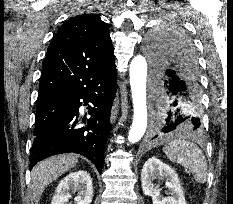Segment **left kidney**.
<instances>
[{
  "mask_svg": "<svg viewBox=\"0 0 233 204\" xmlns=\"http://www.w3.org/2000/svg\"><path fill=\"white\" fill-rule=\"evenodd\" d=\"M156 179L165 181V187L169 190L168 197L160 194L161 189L154 183ZM141 183L143 193L152 197L153 204H187L178 175L156 157H151L143 165Z\"/></svg>",
  "mask_w": 233,
  "mask_h": 204,
  "instance_id": "1",
  "label": "left kidney"
}]
</instances>
